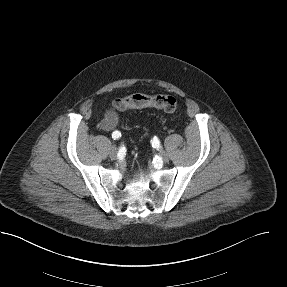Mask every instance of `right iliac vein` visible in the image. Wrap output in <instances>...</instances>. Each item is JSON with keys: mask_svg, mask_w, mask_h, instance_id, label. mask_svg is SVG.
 Listing matches in <instances>:
<instances>
[{"mask_svg": "<svg viewBox=\"0 0 287 287\" xmlns=\"http://www.w3.org/2000/svg\"><path fill=\"white\" fill-rule=\"evenodd\" d=\"M109 156L112 160H115L118 156V150L116 147H112L110 152H109Z\"/></svg>", "mask_w": 287, "mask_h": 287, "instance_id": "1", "label": "right iliac vein"}]
</instances>
